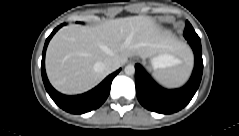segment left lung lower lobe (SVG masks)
Wrapping results in <instances>:
<instances>
[{
	"label": "left lung lower lobe",
	"mask_w": 239,
	"mask_h": 136,
	"mask_svg": "<svg viewBox=\"0 0 239 136\" xmlns=\"http://www.w3.org/2000/svg\"><path fill=\"white\" fill-rule=\"evenodd\" d=\"M188 43L194 52L195 65L190 80L182 88L164 89L154 82L140 64L135 65L137 98L146 109L161 114H171L184 108L193 98L201 82L203 59L201 42L188 40Z\"/></svg>",
	"instance_id": "left-lung-lower-lobe-1"
}]
</instances>
